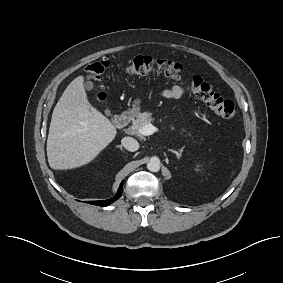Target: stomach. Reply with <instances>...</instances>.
Instances as JSON below:
<instances>
[{
	"label": "stomach",
	"instance_id": "1",
	"mask_svg": "<svg viewBox=\"0 0 283 283\" xmlns=\"http://www.w3.org/2000/svg\"><path fill=\"white\" fill-rule=\"evenodd\" d=\"M140 103H141V100H140V99L134 100V102H133V108H134V110H139V109H140Z\"/></svg>",
	"mask_w": 283,
	"mask_h": 283
}]
</instances>
